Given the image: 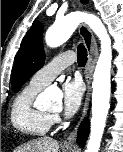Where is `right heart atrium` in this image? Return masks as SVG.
I'll list each match as a JSON object with an SVG mask.
<instances>
[{
  "mask_svg": "<svg viewBox=\"0 0 123 152\" xmlns=\"http://www.w3.org/2000/svg\"><path fill=\"white\" fill-rule=\"evenodd\" d=\"M58 120L57 116H52V122H56Z\"/></svg>",
  "mask_w": 123,
  "mask_h": 152,
  "instance_id": "obj_1",
  "label": "right heart atrium"
}]
</instances>
